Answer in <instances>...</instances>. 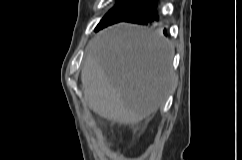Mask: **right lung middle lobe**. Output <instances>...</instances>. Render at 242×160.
I'll return each mask as SVG.
<instances>
[{
    "label": "right lung middle lobe",
    "mask_w": 242,
    "mask_h": 160,
    "mask_svg": "<svg viewBox=\"0 0 242 160\" xmlns=\"http://www.w3.org/2000/svg\"><path fill=\"white\" fill-rule=\"evenodd\" d=\"M149 0H120L100 21L95 32L126 18Z\"/></svg>",
    "instance_id": "right-lung-middle-lobe-1"
}]
</instances>
